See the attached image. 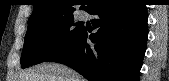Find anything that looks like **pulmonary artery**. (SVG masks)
I'll list each match as a JSON object with an SVG mask.
<instances>
[{
  "label": "pulmonary artery",
  "instance_id": "1",
  "mask_svg": "<svg viewBox=\"0 0 169 81\" xmlns=\"http://www.w3.org/2000/svg\"><path fill=\"white\" fill-rule=\"evenodd\" d=\"M80 18H81V19H85V18H86V14L82 12V13L80 14Z\"/></svg>",
  "mask_w": 169,
  "mask_h": 81
}]
</instances>
